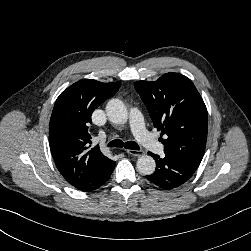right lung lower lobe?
Masks as SVG:
<instances>
[{
    "label": "right lung lower lobe",
    "mask_w": 251,
    "mask_h": 251,
    "mask_svg": "<svg viewBox=\"0 0 251 251\" xmlns=\"http://www.w3.org/2000/svg\"><path fill=\"white\" fill-rule=\"evenodd\" d=\"M115 164V161L110 160L109 162L92 171L87 178L74 187L81 191H93L99 188L111 176Z\"/></svg>",
    "instance_id": "obj_1"
}]
</instances>
